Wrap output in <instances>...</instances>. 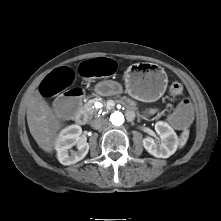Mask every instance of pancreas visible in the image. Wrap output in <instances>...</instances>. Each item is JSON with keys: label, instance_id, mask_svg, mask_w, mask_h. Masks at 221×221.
I'll return each instance as SVG.
<instances>
[{"label": "pancreas", "instance_id": "cf45deb5", "mask_svg": "<svg viewBox=\"0 0 221 221\" xmlns=\"http://www.w3.org/2000/svg\"><path fill=\"white\" fill-rule=\"evenodd\" d=\"M96 100H99V99H92V100H90L89 102H87V103L84 105V109L86 110V112H87L89 115H92V114H94V113L97 111V109H94V108H93V103H94ZM114 100H115L116 103H122V104H124L126 107H128V108L131 109V110H136V109H137L136 106H135V103H134L131 99H129V98L125 97V96L120 97L119 99L114 98ZM101 101H102V103H103L104 105H106V101H105V100H101Z\"/></svg>", "mask_w": 221, "mask_h": 221}]
</instances>
